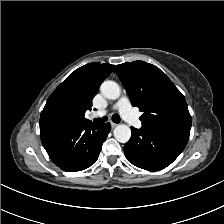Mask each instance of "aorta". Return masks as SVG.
<instances>
[{
  "instance_id": "762f6f07",
  "label": "aorta",
  "mask_w": 224,
  "mask_h": 224,
  "mask_svg": "<svg viewBox=\"0 0 224 224\" xmlns=\"http://www.w3.org/2000/svg\"><path fill=\"white\" fill-rule=\"evenodd\" d=\"M100 90L102 95L110 100H116L120 96V87L114 81H104L101 86ZM131 129L129 126L125 124H119L114 129V137L120 143H126L131 138Z\"/></svg>"
}]
</instances>
